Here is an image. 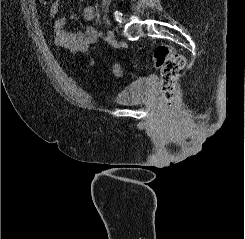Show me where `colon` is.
Here are the masks:
<instances>
[{
	"label": "colon",
	"mask_w": 245,
	"mask_h": 239,
	"mask_svg": "<svg viewBox=\"0 0 245 239\" xmlns=\"http://www.w3.org/2000/svg\"><path fill=\"white\" fill-rule=\"evenodd\" d=\"M41 3L48 5L53 0H40ZM153 65L160 71V94L166 104L170 105L174 98V93L178 79L180 78L184 67V56L174 50L169 45H159L152 53ZM114 74L121 77L123 70L121 65L116 64L113 67Z\"/></svg>",
	"instance_id": "colon-1"
}]
</instances>
